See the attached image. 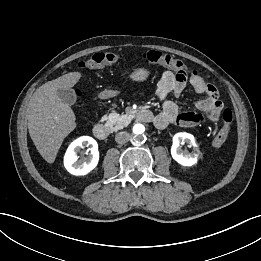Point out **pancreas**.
<instances>
[{"label": "pancreas", "instance_id": "pancreas-1", "mask_svg": "<svg viewBox=\"0 0 261 261\" xmlns=\"http://www.w3.org/2000/svg\"><path fill=\"white\" fill-rule=\"evenodd\" d=\"M105 118L107 125L112 131L123 129L131 121V117L128 114L121 115L115 111H112L108 116H105Z\"/></svg>", "mask_w": 261, "mask_h": 261}]
</instances>
